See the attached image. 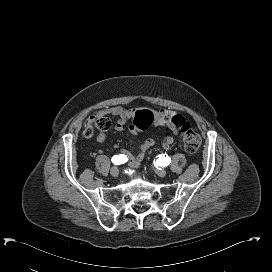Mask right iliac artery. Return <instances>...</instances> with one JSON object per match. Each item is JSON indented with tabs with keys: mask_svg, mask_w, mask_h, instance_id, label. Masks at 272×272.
Segmentation results:
<instances>
[{
	"mask_svg": "<svg viewBox=\"0 0 272 272\" xmlns=\"http://www.w3.org/2000/svg\"><path fill=\"white\" fill-rule=\"evenodd\" d=\"M111 160L115 165H120L127 162L128 158L126 155L120 154V155H114Z\"/></svg>",
	"mask_w": 272,
	"mask_h": 272,
	"instance_id": "82829eb1",
	"label": "right iliac artery"
}]
</instances>
